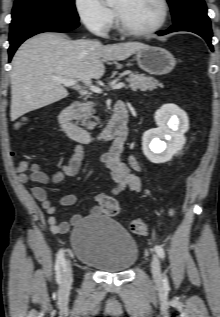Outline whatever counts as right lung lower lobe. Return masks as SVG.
<instances>
[{"instance_id": "right-lung-lower-lobe-1", "label": "right lung lower lobe", "mask_w": 220, "mask_h": 317, "mask_svg": "<svg viewBox=\"0 0 220 317\" xmlns=\"http://www.w3.org/2000/svg\"><path fill=\"white\" fill-rule=\"evenodd\" d=\"M79 26L78 21L53 15L34 16L10 26L9 60L27 38L41 32H67Z\"/></svg>"}]
</instances>
